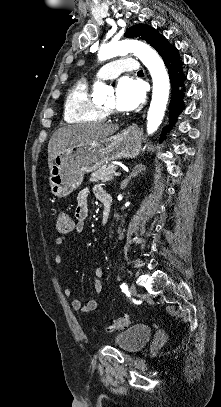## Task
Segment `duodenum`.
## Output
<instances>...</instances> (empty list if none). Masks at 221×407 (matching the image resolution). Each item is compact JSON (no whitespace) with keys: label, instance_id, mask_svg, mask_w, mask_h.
<instances>
[{"label":"duodenum","instance_id":"duodenum-1","mask_svg":"<svg viewBox=\"0 0 221 407\" xmlns=\"http://www.w3.org/2000/svg\"><path fill=\"white\" fill-rule=\"evenodd\" d=\"M103 212L101 216V227L104 228L108 222L109 214H110V207H111V196L106 194L103 199Z\"/></svg>","mask_w":221,"mask_h":407}]
</instances>
